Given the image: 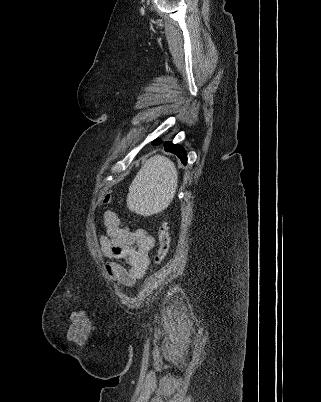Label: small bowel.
<instances>
[{"instance_id":"1","label":"small bowel","mask_w":321,"mask_h":402,"mask_svg":"<svg viewBox=\"0 0 321 402\" xmlns=\"http://www.w3.org/2000/svg\"><path fill=\"white\" fill-rule=\"evenodd\" d=\"M105 234L100 236L99 245L102 253L110 260L106 264L109 277L120 285L132 287L145 276L150 264L149 252L155 245V239L145 229L130 230L122 224L114 211H105L102 215ZM75 320L69 322L71 328L68 337L76 340L77 347H84L90 333L91 323L83 320V311H75Z\"/></svg>"}]
</instances>
